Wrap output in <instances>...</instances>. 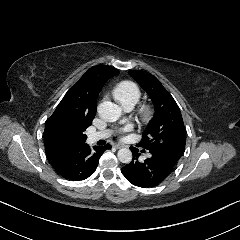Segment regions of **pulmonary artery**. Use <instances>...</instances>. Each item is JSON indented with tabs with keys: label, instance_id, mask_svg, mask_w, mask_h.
Masks as SVG:
<instances>
[{
	"label": "pulmonary artery",
	"instance_id": "1",
	"mask_svg": "<svg viewBox=\"0 0 240 240\" xmlns=\"http://www.w3.org/2000/svg\"><path fill=\"white\" fill-rule=\"evenodd\" d=\"M132 108L133 107L129 106V107H125L124 110L131 111ZM108 136H109V133L106 131L94 132V133H91L88 135L87 142H88V144H93V143H96L100 140L107 138Z\"/></svg>",
	"mask_w": 240,
	"mask_h": 240
}]
</instances>
